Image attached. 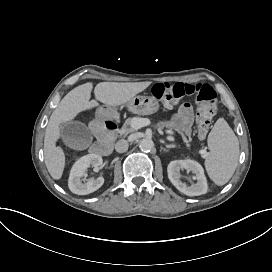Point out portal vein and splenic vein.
Listing matches in <instances>:
<instances>
[{"label": "portal vein and splenic vein", "instance_id": "18ae733b", "mask_svg": "<svg viewBox=\"0 0 272 272\" xmlns=\"http://www.w3.org/2000/svg\"><path fill=\"white\" fill-rule=\"evenodd\" d=\"M152 124V121L148 118H138V117H134L132 119V123H131V128L133 129V131H137L139 129H141L144 126H150ZM164 133L169 134L171 136L176 135V132L172 129H164L163 130ZM171 141H175V138H168ZM197 154H199V151L197 152Z\"/></svg>", "mask_w": 272, "mask_h": 272}]
</instances>
